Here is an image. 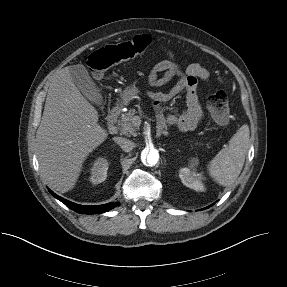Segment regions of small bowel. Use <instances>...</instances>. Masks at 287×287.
I'll list each match as a JSON object with an SVG mask.
<instances>
[{
    "instance_id": "1",
    "label": "small bowel",
    "mask_w": 287,
    "mask_h": 287,
    "mask_svg": "<svg viewBox=\"0 0 287 287\" xmlns=\"http://www.w3.org/2000/svg\"><path fill=\"white\" fill-rule=\"evenodd\" d=\"M167 59L158 62L148 75V82L152 87H161L174 78H178L176 84L167 92L148 91L154 108L159 117V128L162 129L165 123L178 127L181 131L193 130L202 120L203 110L198 97L199 82H207L209 79L208 70L199 63L190 64L185 70L175 61L172 51L163 48ZM185 92V110L179 115L167 113L165 104Z\"/></svg>"
}]
</instances>
